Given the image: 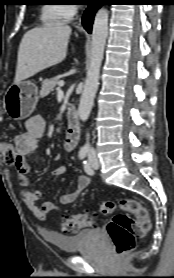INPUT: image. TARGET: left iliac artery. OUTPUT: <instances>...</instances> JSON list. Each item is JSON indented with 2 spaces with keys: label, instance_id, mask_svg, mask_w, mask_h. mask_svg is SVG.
Listing matches in <instances>:
<instances>
[{
  "label": "left iliac artery",
  "instance_id": "obj_1",
  "mask_svg": "<svg viewBox=\"0 0 174 278\" xmlns=\"http://www.w3.org/2000/svg\"><path fill=\"white\" fill-rule=\"evenodd\" d=\"M83 164H84L85 172L87 174H89V175H92L93 174V170L91 169L89 162L88 161H84Z\"/></svg>",
  "mask_w": 174,
  "mask_h": 278
}]
</instances>
